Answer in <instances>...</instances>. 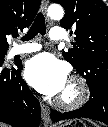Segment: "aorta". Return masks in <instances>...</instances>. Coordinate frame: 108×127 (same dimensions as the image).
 <instances>
[{"label": "aorta", "instance_id": "762f6f07", "mask_svg": "<svg viewBox=\"0 0 108 127\" xmlns=\"http://www.w3.org/2000/svg\"><path fill=\"white\" fill-rule=\"evenodd\" d=\"M48 16L53 20H60L63 18L64 10L59 4H52L48 8Z\"/></svg>", "mask_w": 108, "mask_h": 127}]
</instances>
